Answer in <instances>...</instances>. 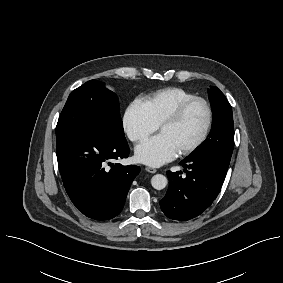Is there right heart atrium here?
I'll return each instance as SVG.
<instances>
[{"mask_svg": "<svg viewBox=\"0 0 283 283\" xmlns=\"http://www.w3.org/2000/svg\"><path fill=\"white\" fill-rule=\"evenodd\" d=\"M157 128L143 101L135 99L128 104L123 116V129L132 142L144 140Z\"/></svg>", "mask_w": 283, "mask_h": 283, "instance_id": "1", "label": "right heart atrium"}]
</instances>
